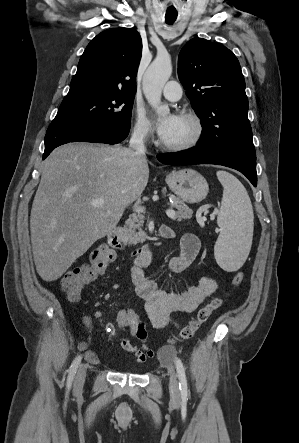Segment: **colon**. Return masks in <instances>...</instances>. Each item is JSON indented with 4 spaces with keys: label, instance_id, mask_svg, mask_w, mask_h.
<instances>
[{
    "label": "colon",
    "instance_id": "colon-1",
    "mask_svg": "<svg viewBox=\"0 0 299 443\" xmlns=\"http://www.w3.org/2000/svg\"><path fill=\"white\" fill-rule=\"evenodd\" d=\"M115 260V252L112 247L102 244L98 246L90 256V261L68 271L61 279L60 287L67 295L70 302L75 303L80 299L83 289L104 274ZM245 279V274L238 271L234 274L231 284L239 286ZM222 299L213 298L208 304L202 307L197 315L190 320L174 337L169 341L174 345L178 341L191 338L199 326L206 322L211 313L220 307ZM115 327L119 331H129L132 338L139 341L144 336V320L131 307H125L117 312ZM172 347L162 349L161 356H170Z\"/></svg>",
    "mask_w": 299,
    "mask_h": 443
}]
</instances>
